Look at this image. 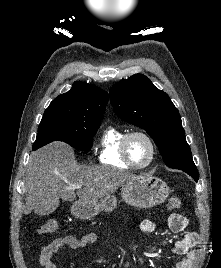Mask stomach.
Segmentation results:
<instances>
[{"label":"stomach","mask_w":221,"mask_h":268,"mask_svg":"<svg viewBox=\"0 0 221 268\" xmlns=\"http://www.w3.org/2000/svg\"><path fill=\"white\" fill-rule=\"evenodd\" d=\"M169 186L157 177L134 176L121 188L125 203L138 208H151L163 203L169 196ZM117 206V199L108 195L100 201L75 202L71 207L72 214L80 219H92L100 211L111 212Z\"/></svg>","instance_id":"1"}]
</instances>
